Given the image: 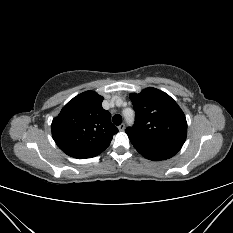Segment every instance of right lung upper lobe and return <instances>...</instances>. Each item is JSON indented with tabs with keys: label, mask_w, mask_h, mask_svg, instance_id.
Masks as SVG:
<instances>
[{
	"label": "right lung upper lobe",
	"mask_w": 233,
	"mask_h": 233,
	"mask_svg": "<svg viewBox=\"0 0 233 233\" xmlns=\"http://www.w3.org/2000/svg\"><path fill=\"white\" fill-rule=\"evenodd\" d=\"M102 101V96L86 91L69 101L53 119V139L65 154L91 158L109 146L118 129L111 123V114L102 108Z\"/></svg>",
	"instance_id": "cb5924a9"
}]
</instances>
